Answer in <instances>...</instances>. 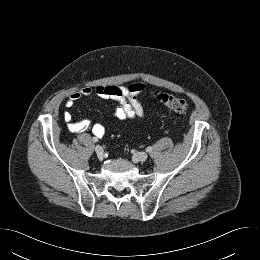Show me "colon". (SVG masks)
Wrapping results in <instances>:
<instances>
[{
  "label": "colon",
  "instance_id": "5ec220e1",
  "mask_svg": "<svg viewBox=\"0 0 260 260\" xmlns=\"http://www.w3.org/2000/svg\"><path fill=\"white\" fill-rule=\"evenodd\" d=\"M156 98L160 103L166 106L169 110L178 114H183L190 109L189 102L170 94L160 93L156 95Z\"/></svg>",
  "mask_w": 260,
  "mask_h": 260
}]
</instances>
